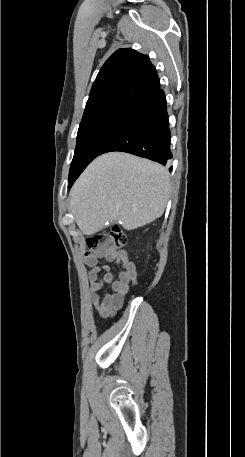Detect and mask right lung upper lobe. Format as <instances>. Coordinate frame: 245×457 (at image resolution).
Returning <instances> with one entry per match:
<instances>
[{"label": "right lung upper lobe", "mask_w": 245, "mask_h": 457, "mask_svg": "<svg viewBox=\"0 0 245 457\" xmlns=\"http://www.w3.org/2000/svg\"><path fill=\"white\" fill-rule=\"evenodd\" d=\"M158 88L159 78L149 58L133 49H119L98 73L84 114L107 109L129 110Z\"/></svg>", "instance_id": "obj_1"}]
</instances>
